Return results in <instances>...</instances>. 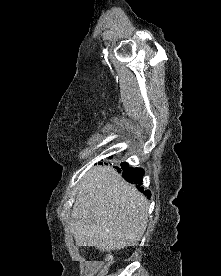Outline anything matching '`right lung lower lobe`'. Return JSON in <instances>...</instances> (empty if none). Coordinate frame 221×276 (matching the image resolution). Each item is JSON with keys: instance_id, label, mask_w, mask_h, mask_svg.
Segmentation results:
<instances>
[{"instance_id": "right-lung-lower-lobe-1", "label": "right lung lower lobe", "mask_w": 221, "mask_h": 276, "mask_svg": "<svg viewBox=\"0 0 221 276\" xmlns=\"http://www.w3.org/2000/svg\"><path fill=\"white\" fill-rule=\"evenodd\" d=\"M121 168L117 167L118 172L122 171L123 178L131 184H135L139 191L150 198V191L144 190L142 185V177L144 175V170L141 168H131L126 162L121 163Z\"/></svg>"}]
</instances>
